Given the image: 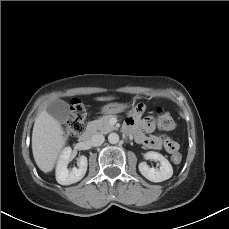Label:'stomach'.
<instances>
[{
    "label": "stomach",
    "mask_w": 229,
    "mask_h": 229,
    "mask_svg": "<svg viewBox=\"0 0 229 229\" xmlns=\"http://www.w3.org/2000/svg\"><path fill=\"white\" fill-rule=\"evenodd\" d=\"M127 107V104L115 102L104 105L101 111L104 114H116L123 112L125 109H127Z\"/></svg>",
    "instance_id": "0dacf381"
}]
</instances>
